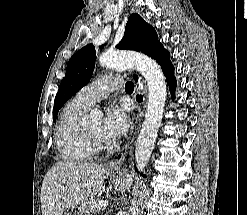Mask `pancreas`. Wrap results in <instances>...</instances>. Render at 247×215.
<instances>
[{
	"label": "pancreas",
	"instance_id": "cf45deb5",
	"mask_svg": "<svg viewBox=\"0 0 247 215\" xmlns=\"http://www.w3.org/2000/svg\"><path fill=\"white\" fill-rule=\"evenodd\" d=\"M102 201L92 200L80 207V215H95L99 210L98 206Z\"/></svg>",
	"mask_w": 247,
	"mask_h": 215
}]
</instances>
